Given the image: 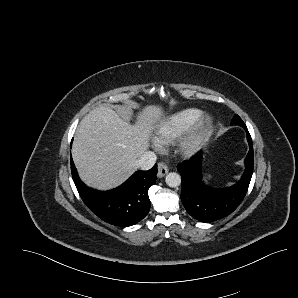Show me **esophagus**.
Here are the masks:
<instances>
[{
	"mask_svg": "<svg viewBox=\"0 0 298 298\" xmlns=\"http://www.w3.org/2000/svg\"><path fill=\"white\" fill-rule=\"evenodd\" d=\"M168 166L163 163V162H160L158 163V177H163L165 176L167 173H168Z\"/></svg>",
	"mask_w": 298,
	"mask_h": 298,
	"instance_id": "34e87169",
	"label": "esophagus"
}]
</instances>
